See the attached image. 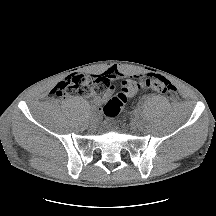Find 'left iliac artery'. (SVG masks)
Segmentation results:
<instances>
[{"label":"left iliac artery","instance_id":"1","mask_svg":"<svg viewBox=\"0 0 216 216\" xmlns=\"http://www.w3.org/2000/svg\"><path fill=\"white\" fill-rule=\"evenodd\" d=\"M135 113H137V114L140 113V108L139 107L137 109H135Z\"/></svg>","mask_w":216,"mask_h":216}]
</instances>
